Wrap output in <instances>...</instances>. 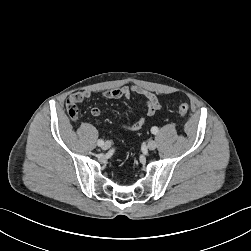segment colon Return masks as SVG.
<instances>
[{
	"mask_svg": "<svg viewBox=\"0 0 251 251\" xmlns=\"http://www.w3.org/2000/svg\"><path fill=\"white\" fill-rule=\"evenodd\" d=\"M178 111H179V113H180L182 116H185V115H187V113H188V111H189V107H188L187 104L182 103V104L179 105ZM68 113H69V115H70V117H71L72 119H74V118L76 117V111H75L74 109H70V111H69Z\"/></svg>",
	"mask_w": 251,
	"mask_h": 251,
	"instance_id": "colon-1",
	"label": "colon"
}]
</instances>
